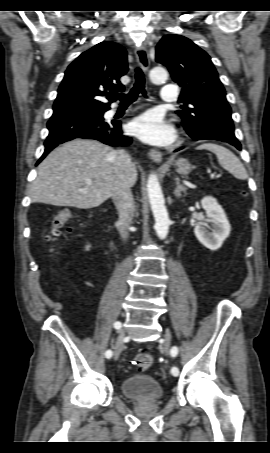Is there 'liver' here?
Returning <instances> with one entry per match:
<instances>
[{"label": "liver", "instance_id": "1", "mask_svg": "<svg viewBox=\"0 0 270 453\" xmlns=\"http://www.w3.org/2000/svg\"><path fill=\"white\" fill-rule=\"evenodd\" d=\"M114 150L94 140L75 139L54 149L39 165L31 185L34 203L90 209L113 196L117 170ZM129 185L137 181L136 166L129 170ZM92 180L87 184L86 180Z\"/></svg>", "mask_w": 270, "mask_h": 453}]
</instances>
